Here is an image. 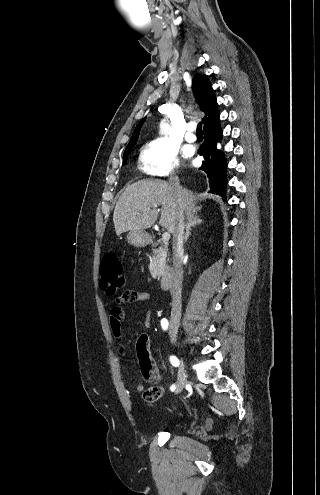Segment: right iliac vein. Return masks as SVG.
Instances as JSON below:
<instances>
[{"instance_id": "right-iliac-vein-1", "label": "right iliac vein", "mask_w": 320, "mask_h": 495, "mask_svg": "<svg viewBox=\"0 0 320 495\" xmlns=\"http://www.w3.org/2000/svg\"><path fill=\"white\" fill-rule=\"evenodd\" d=\"M173 343L176 345L177 343V336L175 333H172L171 335ZM186 382V374H185V367L183 361L181 362V366L178 371V376H177V382H176V393H180L185 385Z\"/></svg>"}]
</instances>
